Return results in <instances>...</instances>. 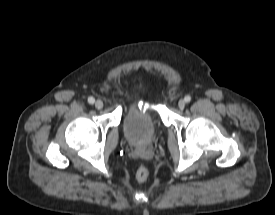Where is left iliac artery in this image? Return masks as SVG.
Masks as SVG:
<instances>
[{
  "instance_id": "left-iliac-artery-1",
  "label": "left iliac artery",
  "mask_w": 275,
  "mask_h": 215,
  "mask_svg": "<svg viewBox=\"0 0 275 215\" xmlns=\"http://www.w3.org/2000/svg\"><path fill=\"white\" fill-rule=\"evenodd\" d=\"M184 101L186 103L190 102L191 101V97L189 95L185 96Z\"/></svg>"
}]
</instances>
